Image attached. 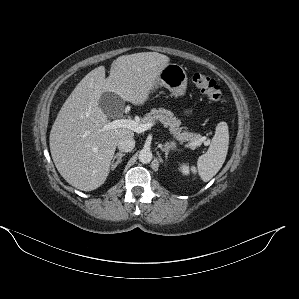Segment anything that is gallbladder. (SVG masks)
<instances>
[{
  "label": "gallbladder",
  "mask_w": 299,
  "mask_h": 299,
  "mask_svg": "<svg viewBox=\"0 0 299 299\" xmlns=\"http://www.w3.org/2000/svg\"><path fill=\"white\" fill-rule=\"evenodd\" d=\"M99 107L108 117H121L124 101L113 92H104L99 99Z\"/></svg>",
  "instance_id": "bac80fb5"
}]
</instances>
